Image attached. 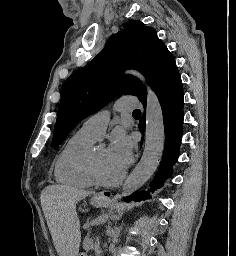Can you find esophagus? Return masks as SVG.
<instances>
[{
  "mask_svg": "<svg viewBox=\"0 0 236 256\" xmlns=\"http://www.w3.org/2000/svg\"><path fill=\"white\" fill-rule=\"evenodd\" d=\"M111 196H112V193H111L110 191L104 190V191H101L100 193L96 194V195L94 196V198L107 200V199H109Z\"/></svg>",
  "mask_w": 236,
  "mask_h": 256,
  "instance_id": "34e87169",
  "label": "esophagus"
}]
</instances>
